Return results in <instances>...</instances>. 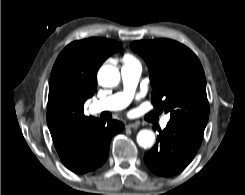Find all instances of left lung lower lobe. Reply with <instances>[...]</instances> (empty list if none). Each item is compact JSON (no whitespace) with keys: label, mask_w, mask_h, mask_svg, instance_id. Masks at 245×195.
<instances>
[{"label":"left lung lower lobe","mask_w":245,"mask_h":195,"mask_svg":"<svg viewBox=\"0 0 245 195\" xmlns=\"http://www.w3.org/2000/svg\"><path fill=\"white\" fill-rule=\"evenodd\" d=\"M204 129L170 120L163 131L159 130L154 147L145 153L146 165L159 176L169 177L180 173L198 151Z\"/></svg>","instance_id":"left-lung-lower-lobe-1"}]
</instances>
